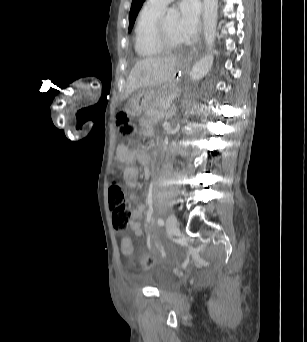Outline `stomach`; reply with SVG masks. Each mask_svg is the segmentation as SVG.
<instances>
[{
	"label": "stomach",
	"instance_id": "0dacf381",
	"mask_svg": "<svg viewBox=\"0 0 307 342\" xmlns=\"http://www.w3.org/2000/svg\"><path fill=\"white\" fill-rule=\"evenodd\" d=\"M189 68V61L178 59L168 81L157 90L143 91L132 97L126 104L125 111L131 117L139 116L153 103V100L166 93L175 92L185 71Z\"/></svg>",
	"mask_w": 307,
	"mask_h": 342
}]
</instances>
